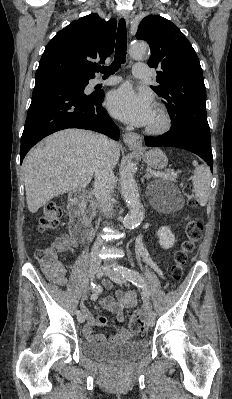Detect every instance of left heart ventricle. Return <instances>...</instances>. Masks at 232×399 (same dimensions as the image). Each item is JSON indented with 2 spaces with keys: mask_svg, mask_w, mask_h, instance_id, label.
I'll return each instance as SVG.
<instances>
[{
  "mask_svg": "<svg viewBox=\"0 0 232 399\" xmlns=\"http://www.w3.org/2000/svg\"><path fill=\"white\" fill-rule=\"evenodd\" d=\"M159 122H160V117H159V114L157 112V109H155V113H154L153 119L151 120V122L145 128L157 126L159 124Z\"/></svg>",
  "mask_w": 232,
  "mask_h": 399,
  "instance_id": "left-heart-ventricle-1",
  "label": "left heart ventricle"
}]
</instances>
